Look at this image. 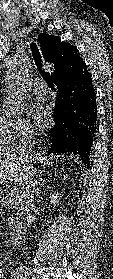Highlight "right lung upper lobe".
Segmentation results:
<instances>
[{
	"label": "right lung upper lobe",
	"mask_w": 113,
	"mask_h": 279,
	"mask_svg": "<svg viewBox=\"0 0 113 279\" xmlns=\"http://www.w3.org/2000/svg\"><path fill=\"white\" fill-rule=\"evenodd\" d=\"M38 37L44 60L55 66L52 73L53 81L74 73L85 63L79 56L77 48L62 42L59 37L44 33H40Z\"/></svg>",
	"instance_id": "cb5924a9"
}]
</instances>
